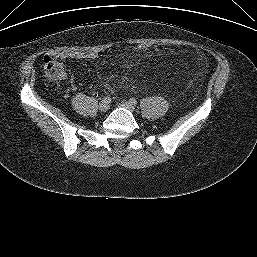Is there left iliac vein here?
<instances>
[{"label": "left iliac vein", "mask_w": 257, "mask_h": 257, "mask_svg": "<svg viewBox=\"0 0 257 257\" xmlns=\"http://www.w3.org/2000/svg\"><path fill=\"white\" fill-rule=\"evenodd\" d=\"M121 105L127 109H129L130 111H134L135 110V107L132 103H130L129 101H123L121 103Z\"/></svg>", "instance_id": "left-iliac-vein-1"}]
</instances>
